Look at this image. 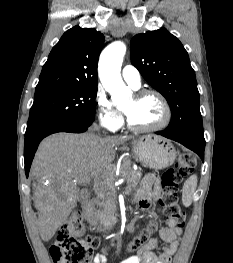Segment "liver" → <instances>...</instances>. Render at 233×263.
I'll list each match as a JSON object with an SVG mask.
<instances>
[{
    "label": "liver",
    "instance_id": "6515ba94",
    "mask_svg": "<svg viewBox=\"0 0 233 263\" xmlns=\"http://www.w3.org/2000/svg\"><path fill=\"white\" fill-rule=\"evenodd\" d=\"M129 139L130 136L101 138L89 132L56 133L40 143L31 174L38 181L33 188L34 203L43 241L55 235L75 208L80 196L78 179L89 176L101 181L110 177L114 147Z\"/></svg>",
    "mask_w": 233,
    "mask_h": 263
}]
</instances>
